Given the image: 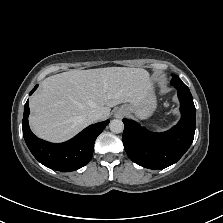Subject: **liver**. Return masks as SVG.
Listing matches in <instances>:
<instances>
[{"mask_svg":"<svg viewBox=\"0 0 223 223\" xmlns=\"http://www.w3.org/2000/svg\"><path fill=\"white\" fill-rule=\"evenodd\" d=\"M152 84L143 68L106 67L52 75L29 100L30 129L44 141L64 143L93 124L88 118L92 110H100L102 119H107L111 107L140 100Z\"/></svg>","mask_w":223,"mask_h":223,"instance_id":"obj_1","label":"liver"}]
</instances>
